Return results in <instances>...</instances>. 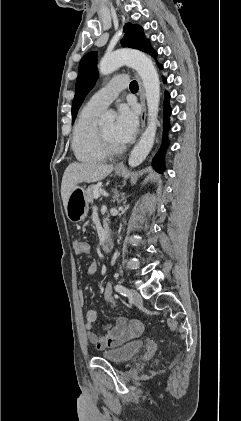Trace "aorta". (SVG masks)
I'll return each mask as SVG.
<instances>
[{"mask_svg": "<svg viewBox=\"0 0 241 421\" xmlns=\"http://www.w3.org/2000/svg\"><path fill=\"white\" fill-rule=\"evenodd\" d=\"M122 65L131 66L141 77L148 106L147 127L128 159L129 165L136 167L145 160L154 144L160 102V81L152 60L143 52L134 49H120L104 56L99 64V72L108 75ZM113 121L112 114H105L101 118L102 123Z\"/></svg>", "mask_w": 241, "mask_h": 421, "instance_id": "aorta-1", "label": "aorta"}]
</instances>
